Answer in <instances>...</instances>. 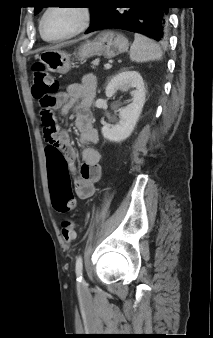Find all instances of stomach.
Returning a JSON list of instances; mask_svg holds the SVG:
<instances>
[{"label": "stomach", "instance_id": "1", "mask_svg": "<svg viewBox=\"0 0 213 338\" xmlns=\"http://www.w3.org/2000/svg\"><path fill=\"white\" fill-rule=\"evenodd\" d=\"M128 48V39L121 33L110 30L102 31L92 40H86L81 45L77 59L84 61L93 55L110 59L126 52ZM39 60L49 71L60 74L67 73L72 67L69 55L58 49L43 52L39 56Z\"/></svg>", "mask_w": 213, "mask_h": 338}]
</instances>
